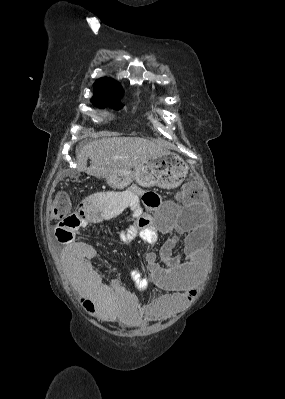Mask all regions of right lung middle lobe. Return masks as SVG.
Instances as JSON below:
<instances>
[{"mask_svg": "<svg viewBox=\"0 0 285 399\" xmlns=\"http://www.w3.org/2000/svg\"><path fill=\"white\" fill-rule=\"evenodd\" d=\"M91 101L94 105L99 106V107H114L116 109L122 108V105H120L119 99L107 100V101H98V100H91Z\"/></svg>", "mask_w": 285, "mask_h": 399, "instance_id": "right-lung-middle-lobe-1", "label": "right lung middle lobe"}]
</instances>
